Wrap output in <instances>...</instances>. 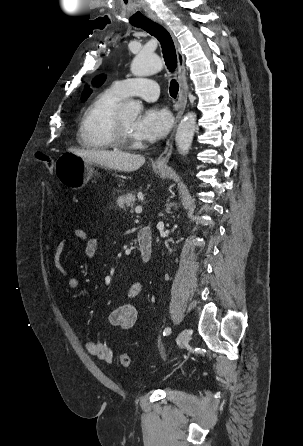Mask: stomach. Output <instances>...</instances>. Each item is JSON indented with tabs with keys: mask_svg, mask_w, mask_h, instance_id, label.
Listing matches in <instances>:
<instances>
[{
	"mask_svg": "<svg viewBox=\"0 0 303 446\" xmlns=\"http://www.w3.org/2000/svg\"><path fill=\"white\" fill-rule=\"evenodd\" d=\"M155 171L161 177L166 175V167H156ZM93 173L94 164L74 153H64L55 162V174L60 183L74 190L83 188Z\"/></svg>",
	"mask_w": 303,
	"mask_h": 446,
	"instance_id": "stomach-1",
	"label": "stomach"
}]
</instances>
